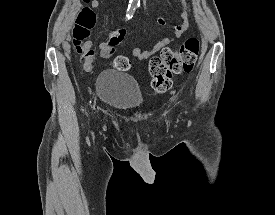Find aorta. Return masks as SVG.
Wrapping results in <instances>:
<instances>
[{"label": "aorta", "instance_id": "762f6f07", "mask_svg": "<svg viewBox=\"0 0 275 215\" xmlns=\"http://www.w3.org/2000/svg\"><path fill=\"white\" fill-rule=\"evenodd\" d=\"M130 3L132 5H139L140 4V0H130Z\"/></svg>", "mask_w": 275, "mask_h": 215}]
</instances>
